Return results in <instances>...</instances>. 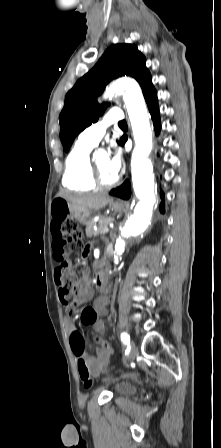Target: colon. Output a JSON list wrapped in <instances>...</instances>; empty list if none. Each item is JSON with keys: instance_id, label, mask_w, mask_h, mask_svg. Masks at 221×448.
Returning a JSON list of instances; mask_svg holds the SVG:
<instances>
[{"instance_id": "obj_1", "label": "colon", "mask_w": 221, "mask_h": 448, "mask_svg": "<svg viewBox=\"0 0 221 448\" xmlns=\"http://www.w3.org/2000/svg\"><path fill=\"white\" fill-rule=\"evenodd\" d=\"M52 215L54 221L59 224V228L55 232L60 237V243L56 245L57 253L55 257L59 262V266L55 273V279L59 287L61 302L66 306H71L81 291V284L68 262V257L70 254L82 250V233L76 220L69 214L68 208L63 202H59L54 206ZM82 318L83 323L90 326L97 320V313L92 306H87L82 312ZM96 342H99L98 338H96ZM71 344L78 355L82 353L83 343L78 331L71 335ZM78 371L84 387L91 388L94 380L90 369L83 359H78Z\"/></svg>"}]
</instances>
